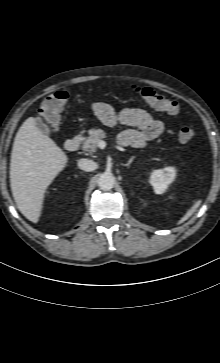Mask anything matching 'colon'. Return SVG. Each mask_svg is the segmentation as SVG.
<instances>
[{
    "instance_id": "obj_1",
    "label": "colon",
    "mask_w": 220,
    "mask_h": 363,
    "mask_svg": "<svg viewBox=\"0 0 220 363\" xmlns=\"http://www.w3.org/2000/svg\"><path fill=\"white\" fill-rule=\"evenodd\" d=\"M133 92L142 98L151 107L175 115L179 112L180 106L177 101L172 100L152 88L133 86ZM69 94L67 91L60 90L46 96L41 109L40 118L46 129L50 132L57 130L61 113L64 110ZM196 131L191 126H182L178 131V137L182 142H189L195 137Z\"/></svg>"
}]
</instances>
